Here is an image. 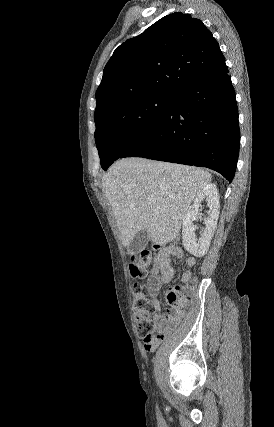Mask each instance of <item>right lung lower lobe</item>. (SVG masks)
Listing matches in <instances>:
<instances>
[{
    "mask_svg": "<svg viewBox=\"0 0 274 427\" xmlns=\"http://www.w3.org/2000/svg\"><path fill=\"white\" fill-rule=\"evenodd\" d=\"M239 143L237 102L225 66L177 92L161 121L120 158L144 157L207 167L231 183Z\"/></svg>",
    "mask_w": 274,
    "mask_h": 427,
    "instance_id": "1",
    "label": "right lung lower lobe"
}]
</instances>
